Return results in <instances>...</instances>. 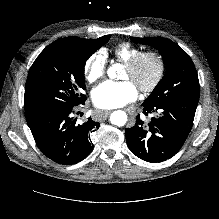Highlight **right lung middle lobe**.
I'll return each instance as SVG.
<instances>
[{"label":"right lung middle lobe","mask_w":219,"mask_h":219,"mask_svg":"<svg viewBox=\"0 0 219 219\" xmlns=\"http://www.w3.org/2000/svg\"><path fill=\"white\" fill-rule=\"evenodd\" d=\"M110 35L93 44L66 37L47 46L33 63L25 85V114L29 118L49 109L73 108L86 97L84 66L108 42Z\"/></svg>","instance_id":"obj_1"}]
</instances>
